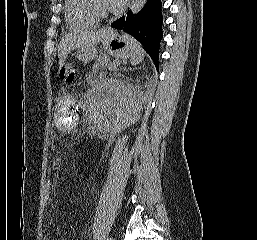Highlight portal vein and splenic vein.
<instances>
[{
    "label": "portal vein and splenic vein",
    "instance_id": "18ae733b",
    "mask_svg": "<svg viewBox=\"0 0 257 240\" xmlns=\"http://www.w3.org/2000/svg\"><path fill=\"white\" fill-rule=\"evenodd\" d=\"M118 65H120L119 61H115V62H114V66L116 67V66H118Z\"/></svg>",
    "mask_w": 257,
    "mask_h": 240
}]
</instances>
